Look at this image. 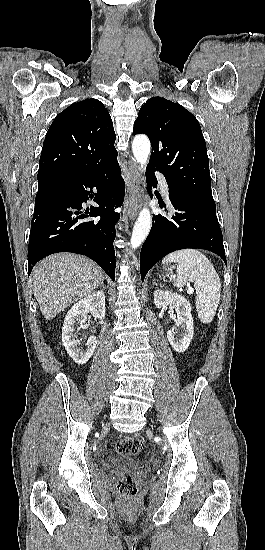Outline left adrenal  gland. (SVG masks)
<instances>
[{
	"instance_id": "1",
	"label": "left adrenal gland",
	"mask_w": 265,
	"mask_h": 550,
	"mask_svg": "<svg viewBox=\"0 0 265 550\" xmlns=\"http://www.w3.org/2000/svg\"><path fill=\"white\" fill-rule=\"evenodd\" d=\"M153 285H157V283H156V280H155V279H153Z\"/></svg>"
}]
</instances>
